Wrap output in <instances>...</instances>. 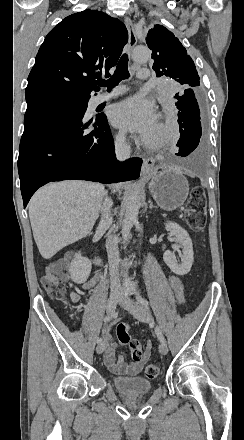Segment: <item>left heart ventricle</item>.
I'll return each instance as SVG.
<instances>
[{
    "label": "left heart ventricle",
    "instance_id": "left-heart-ventricle-1",
    "mask_svg": "<svg viewBox=\"0 0 244 440\" xmlns=\"http://www.w3.org/2000/svg\"><path fill=\"white\" fill-rule=\"evenodd\" d=\"M157 131H158L159 133H161V131H162V127H161V125H158Z\"/></svg>",
    "mask_w": 244,
    "mask_h": 440
}]
</instances>
